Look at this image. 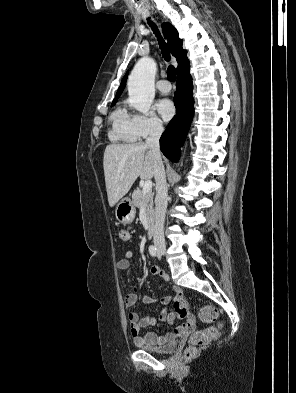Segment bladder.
Returning a JSON list of instances; mask_svg holds the SVG:
<instances>
[{
    "instance_id": "bladder-1",
    "label": "bladder",
    "mask_w": 296,
    "mask_h": 393,
    "mask_svg": "<svg viewBox=\"0 0 296 393\" xmlns=\"http://www.w3.org/2000/svg\"><path fill=\"white\" fill-rule=\"evenodd\" d=\"M176 346H177L176 341H171L168 344H166L160 348H155V347H152L149 345H141L140 348L144 351L154 353V354H168V353H171L173 350H175Z\"/></svg>"
}]
</instances>
